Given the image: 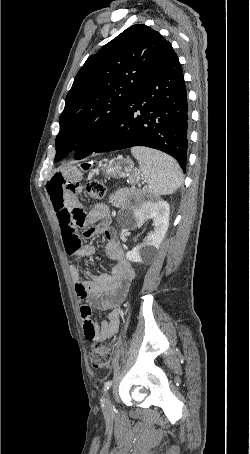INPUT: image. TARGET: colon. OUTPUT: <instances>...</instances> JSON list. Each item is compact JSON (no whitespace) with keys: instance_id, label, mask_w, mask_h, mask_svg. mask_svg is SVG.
<instances>
[{"instance_id":"obj_1","label":"colon","mask_w":250,"mask_h":454,"mask_svg":"<svg viewBox=\"0 0 250 454\" xmlns=\"http://www.w3.org/2000/svg\"><path fill=\"white\" fill-rule=\"evenodd\" d=\"M86 192L91 200H99L104 197L106 187L102 182L92 180L87 183ZM89 356L92 367L99 371L109 368L112 363L110 347L100 343H95L90 347Z\"/></svg>"}]
</instances>
